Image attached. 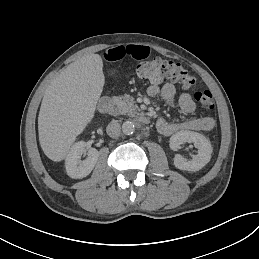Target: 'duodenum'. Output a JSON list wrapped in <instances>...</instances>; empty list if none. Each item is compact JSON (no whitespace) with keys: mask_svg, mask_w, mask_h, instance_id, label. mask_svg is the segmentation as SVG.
Masks as SVG:
<instances>
[{"mask_svg":"<svg viewBox=\"0 0 259 259\" xmlns=\"http://www.w3.org/2000/svg\"><path fill=\"white\" fill-rule=\"evenodd\" d=\"M98 109L103 114L114 115L118 112L117 105L114 100L109 97H103L98 102ZM138 120L143 124H148L150 118L145 114H140Z\"/></svg>","mask_w":259,"mask_h":259,"instance_id":"1","label":"duodenum"}]
</instances>
